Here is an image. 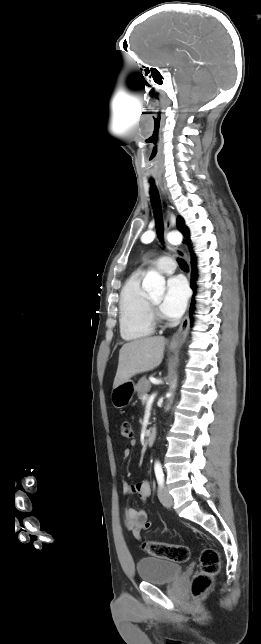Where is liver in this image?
I'll return each instance as SVG.
<instances>
[{
    "label": "liver",
    "instance_id": "1",
    "mask_svg": "<svg viewBox=\"0 0 261 644\" xmlns=\"http://www.w3.org/2000/svg\"><path fill=\"white\" fill-rule=\"evenodd\" d=\"M165 348L164 337H147L125 343L119 351V362L113 389L131 377L159 366Z\"/></svg>",
    "mask_w": 261,
    "mask_h": 644
}]
</instances>
